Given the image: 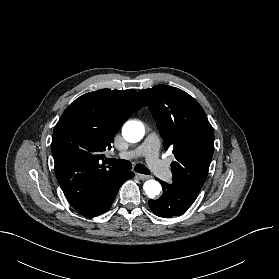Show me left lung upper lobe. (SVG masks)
Instances as JSON below:
<instances>
[{"mask_svg": "<svg viewBox=\"0 0 279 279\" xmlns=\"http://www.w3.org/2000/svg\"><path fill=\"white\" fill-rule=\"evenodd\" d=\"M140 93L149 102L165 149H173L172 184L199 193L214 151L213 128L203 108L188 93L167 85Z\"/></svg>", "mask_w": 279, "mask_h": 279, "instance_id": "5c2ea615", "label": "left lung upper lobe"}]
</instances>
